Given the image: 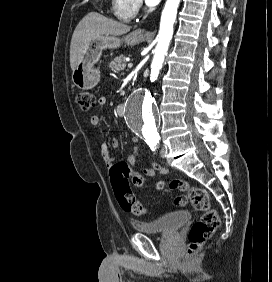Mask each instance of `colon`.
Here are the masks:
<instances>
[{
  "label": "colon",
  "mask_w": 272,
  "mask_h": 282,
  "mask_svg": "<svg viewBox=\"0 0 272 282\" xmlns=\"http://www.w3.org/2000/svg\"><path fill=\"white\" fill-rule=\"evenodd\" d=\"M75 100L83 111L91 110L97 102L96 96L85 90L78 91ZM128 176L129 169L123 163H117L112 167L115 197L124 211L138 216L145 215L147 213L146 208L136 199L129 184ZM133 183L137 186L145 185V181L140 175L133 177ZM169 187L186 193L175 198L176 205L185 206L189 199L194 208L202 212V216L191 225L188 232L187 252L188 255H193L218 228L220 221L217 210L204 189L190 186L182 178L171 180Z\"/></svg>",
  "instance_id": "5ec220e1"
}]
</instances>
